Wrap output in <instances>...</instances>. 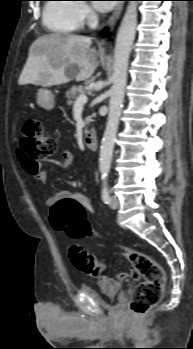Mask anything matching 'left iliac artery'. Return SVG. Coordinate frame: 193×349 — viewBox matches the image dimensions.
<instances>
[{
  "label": "left iliac artery",
  "mask_w": 193,
  "mask_h": 349,
  "mask_svg": "<svg viewBox=\"0 0 193 349\" xmlns=\"http://www.w3.org/2000/svg\"><path fill=\"white\" fill-rule=\"evenodd\" d=\"M102 200L104 201L105 204L110 203L109 189H108V184L106 182L103 183V187H102Z\"/></svg>",
  "instance_id": "obj_1"
}]
</instances>
